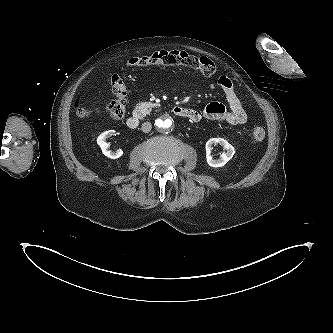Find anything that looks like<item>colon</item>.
Returning a JSON list of instances; mask_svg holds the SVG:
<instances>
[{
	"instance_id": "colon-1",
	"label": "colon",
	"mask_w": 333,
	"mask_h": 333,
	"mask_svg": "<svg viewBox=\"0 0 333 333\" xmlns=\"http://www.w3.org/2000/svg\"><path fill=\"white\" fill-rule=\"evenodd\" d=\"M128 65L135 68L159 67V66H184L204 75L211 76L215 73L214 62L207 57H197L184 51L161 50L145 56H136L128 60ZM111 91L114 99L109 103L104 111V115L111 119H120L125 114V104L127 87L118 74L112 75L110 79ZM78 107V113L82 117L93 115V111ZM265 130L260 126H255L250 132V137L254 142H260L265 138Z\"/></svg>"
}]
</instances>
